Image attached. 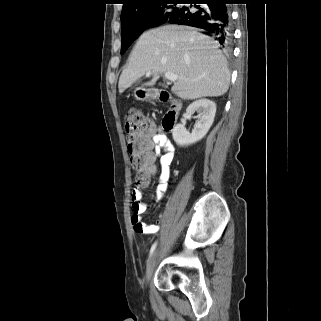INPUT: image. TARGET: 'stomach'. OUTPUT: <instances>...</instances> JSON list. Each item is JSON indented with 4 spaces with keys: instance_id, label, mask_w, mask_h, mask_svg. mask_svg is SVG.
<instances>
[{
    "instance_id": "1",
    "label": "stomach",
    "mask_w": 321,
    "mask_h": 321,
    "mask_svg": "<svg viewBox=\"0 0 321 321\" xmlns=\"http://www.w3.org/2000/svg\"><path fill=\"white\" fill-rule=\"evenodd\" d=\"M135 96L138 99H144V98H147L149 96V93H148L147 90L138 88V89L135 90Z\"/></svg>"
}]
</instances>
